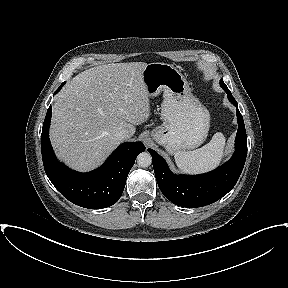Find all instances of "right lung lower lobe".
Listing matches in <instances>:
<instances>
[{"instance_id": "obj_1", "label": "right lung lower lobe", "mask_w": 288, "mask_h": 288, "mask_svg": "<svg viewBox=\"0 0 288 288\" xmlns=\"http://www.w3.org/2000/svg\"><path fill=\"white\" fill-rule=\"evenodd\" d=\"M51 114L50 106L42 128L41 152L45 172L52 184L65 198L81 207L101 209L115 204L123 193L137 155L145 151L144 145L125 142L100 168L89 173L76 172L59 163L55 157L49 140Z\"/></svg>"}]
</instances>
